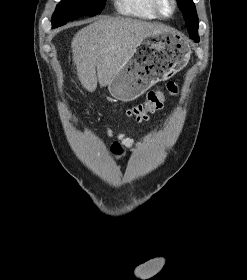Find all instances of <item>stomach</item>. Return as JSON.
<instances>
[{
    "mask_svg": "<svg viewBox=\"0 0 247 280\" xmlns=\"http://www.w3.org/2000/svg\"><path fill=\"white\" fill-rule=\"evenodd\" d=\"M191 50L187 42L173 32L145 37L132 57L116 71L108 84L110 94L120 101H132L153 84L180 71L188 62Z\"/></svg>",
    "mask_w": 247,
    "mask_h": 280,
    "instance_id": "stomach-1",
    "label": "stomach"
}]
</instances>
